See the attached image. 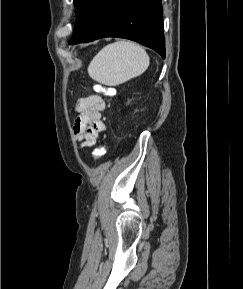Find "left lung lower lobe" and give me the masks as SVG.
Wrapping results in <instances>:
<instances>
[{"instance_id":"obj_1","label":"left lung lower lobe","mask_w":243,"mask_h":289,"mask_svg":"<svg viewBox=\"0 0 243 289\" xmlns=\"http://www.w3.org/2000/svg\"><path fill=\"white\" fill-rule=\"evenodd\" d=\"M161 0H89L78 15L69 44L103 37L139 42L165 58Z\"/></svg>"}]
</instances>
